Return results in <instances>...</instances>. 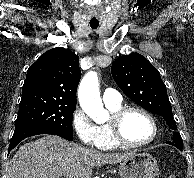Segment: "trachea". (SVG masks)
<instances>
[{
  "instance_id": "3493384b",
  "label": "trachea",
  "mask_w": 194,
  "mask_h": 178,
  "mask_svg": "<svg viewBox=\"0 0 194 178\" xmlns=\"http://www.w3.org/2000/svg\"><path fill=\"white\" fill-rule=\"evenodd\" d=\"M98 26H99V23H90V27L92 29H97Z\"/></svg>"
}]
</instances>
